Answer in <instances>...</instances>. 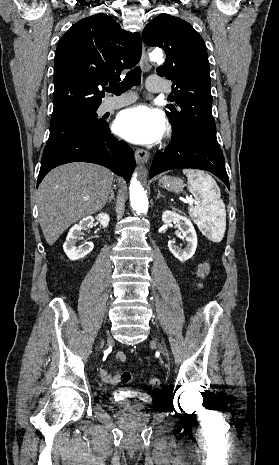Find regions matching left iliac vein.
Returning <instances> with one entry per match:
<instances>
[{"instance_id":"left-iliac-vein-1","label":"left iliac vein","mask_w":279,"mask_h":465,"mask_svg":"<svg viewBox=\"0 0 279 465\" xmlns=\"http://www.w3.org/2000/svg\"><path fill=\"white\" fill-rule=\"evenodd\" d=\"M158 346H159L160 350L162 351V353H163L166 357H168V353H167V351L165 350V348H164L161 344H159V343H158Z\"/></svg>"}]
</instances>
